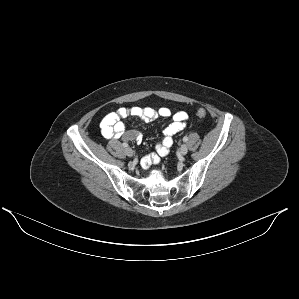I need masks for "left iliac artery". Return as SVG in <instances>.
<instances>
[{"label":"left iliac artery","mask_w":299,"mask_h":299,"mask_svg":"<svg viewBox=\"0 0 299 299\" xmlns=\"http://www.w3.org/2000/svg\"><path fill=\"white\" fill-rule=\"evenodd\" d=\"M187 140H188V137L185 136V137L183 138V141L186 142Z\"/></svg>","instance_id":"obj_1"}]
</instances>
